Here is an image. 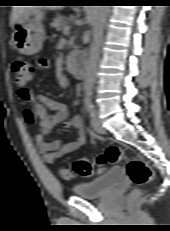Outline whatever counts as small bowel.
Instances as JSON below:
<instances>
[{
  "mask_svg": "<svg viewBox=\"0 0 170 231\" xmlns=\"http://www.w3.org/2000/svg\"><path fill=\"white\" fill-rule=\"evenodd\" d=\"M33 66L36 74H42L48 70L49 63L46 59H38ZM79 92L80 86L77 87V93ZM17 94L30 105L23 110L25 121L31 125H38L39 132L35 136V142L44 162L53 164L86 144L87 137L82 119L79 115H70L69 105L43 94H35L28 87L18 89ZM74 104H77V101ZM57 124L75 129V139L66 144L59 141L47 142L45 136Z\"/></svg>",
  "mask_w": 170,
  "mask_h": 231,
  "instance_id": "obj_1",
  "label": "small bowel"
}]
</instances>
